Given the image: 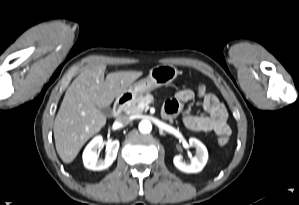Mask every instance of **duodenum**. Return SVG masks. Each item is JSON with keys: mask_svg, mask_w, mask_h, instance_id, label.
<instances>
[{"mask_svg": "<svg viewBox=\"0 0 299 205\" xmlns=\"http://www.w3.org/2000/svg\"><path fill=\"white\" fill-rule=\"evenodd\" d=\"M128 100H129V97H127V96H123V97L119 98L118 100H116V102L113 105V115L114 116H118L121 113L122 109L124 108V106L126 105ZM164 117L167 118L166 115H164Z\"/></svg>", "mask_w": 299, "mask_h": 205, "instance_id": "410a0bca", "label": "duodenum"}]
</instances>
